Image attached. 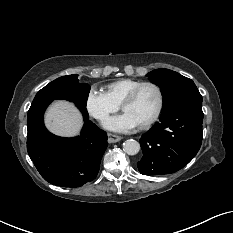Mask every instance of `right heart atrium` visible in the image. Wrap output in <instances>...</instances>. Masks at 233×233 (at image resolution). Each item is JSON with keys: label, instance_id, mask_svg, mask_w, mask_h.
Listing matches in <instances>:
<instances>
[{"label": "right heart atrium", "instance_id": "d8ad5b80", "mask_svg": "<svg viewBox=\"0 0 233 233\" xmlns=\"http://www.w3.org/2000/svg\"><path fill=\"white\" fill-rule=\"evenodd\" d=\"M85 105L88 113L99 121H105L111 114L119 110V105L96 87L89 89Z\"/></svg>", "mask_w": 233, "mask_h": 233}]
</instances>
